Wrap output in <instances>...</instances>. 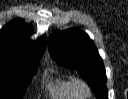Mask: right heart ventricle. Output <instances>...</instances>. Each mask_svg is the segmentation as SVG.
Instances as JSON below:
<instances>
[{
	"label": "right heart ventricle",
	"instance_id": "1",
	"mask_svg": "<svg viewBox=\"0 0 128 99\" xmlns=\"http://www.w3.org/2000/svg\"><path fill=\"white\" fill-rule=\"evenodd\" d=\"M49 93L53 98L76 99L78 98L72 88V79L58 78L49 86Z\"/></svg>",
	"mask_w": 128,
	"mask_h": 99
}]
</instances>
